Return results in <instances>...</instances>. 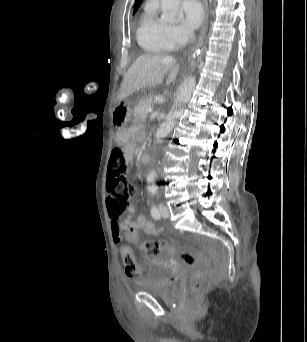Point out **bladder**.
I'll return each mask as SVG.
<instances>
[{
    "instance_id": "31cf9c89",
    "label": "bladder",
    "mask_w": 307,
    "mask_h": 342,
    "mask_svg": "<svg viewBox=\"0 0 307 342\" xmlns=\"http://www.w3.org/2000/svg\"><path fill=\"white\" fill-rule=\"evenodd\" d=\"M139 288L141 291L167 300L173 296L176 286L165 269L156 266L150 269L140 280Z\"/></svg>"
}]
</instances>
